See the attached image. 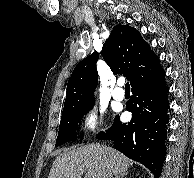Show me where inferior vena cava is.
I'll return each mask as SVG.
<instances>
[{"label": "inferior vena cava", "instance_id": "obj_1", "mask_svg": "<svg viewBox=\"0 0 194 178\" xmlns=\"http://www.w3.org/2000/svg\"><path fill=\"white\" fill-rule=\"evenodd\" d=\"M112 176V173L109 169H106L104 175H103V178H111Z\"/></svg>", "mask_w": 194, "mask_h": 178}]
</instances>
